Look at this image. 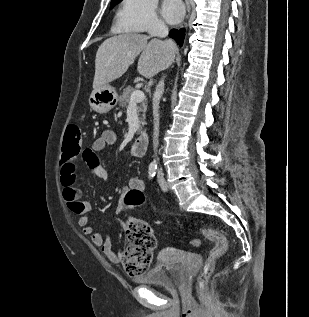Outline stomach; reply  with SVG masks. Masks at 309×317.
Here are the masks:
<instances>
[{
    "label": "stomach",
    "mask_w": 309,
    "mask_h": 317,
    "mask_svg": "<svg viewBox=\"0 0 309 317\" xmlns=\"http://www.w3.org/2000/svg\"><path fill=\"white\" fill-rule=\"evenodd\" d=\"M119 101L116 90L106 84L92 91L89 98V105L92 110L103 114L114 108Z\"/></svg>",
    "instance_id": "0dacf381"
}]
</instances>
